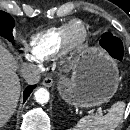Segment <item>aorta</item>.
Returning a JSON list of instances; mask_svg holds the SVG:
<instances>
[{
	"label": "aorta",
	"instance_id": "aorta-1",
	"mask_svg": "<svg viewBox=\"0 0 130 130\" xmlns=\"http://www.w3.org/2000/svg\"><path fill=\"white\" fill-rule=\"evenodd\" d=\"M34 97L36 102L44 104L49 101V92L45 88H39L35 91Z\"/></svg>",
	"mask_w": 130,
	"mask_h": 130
}]
</instances>
